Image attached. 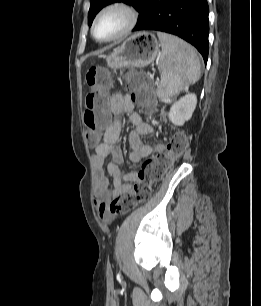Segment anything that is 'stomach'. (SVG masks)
Instances as JSON below:
<instances>
[{
  "mask_svg": "<svg viewBox=\"0 0 261 306\" xmlns=\"http://www.w3.org/2000/svg\"><path fill=\"white\" fill-rule=\"evenodd\" d=\"M159 47V42L152 33H135L113 50L106 58L107 65L111 69L148 66L156 59Z\"/></svg>",
  "mask_w": 261,
  "mask_h": 306,
  "instance_id": "0dacf381",
  "label": "stomach"
}]
</instances>
